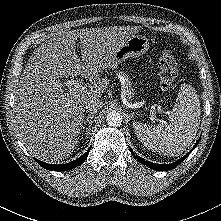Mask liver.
Segmentation results:
<instances>
[{
    "label": "liver",
    "mask_w": 221,
    "mask_h": 221,
    "mask_svg": "<svg viewBox=\"0 0 221 221\" xmlns=\"http://www.w3.org/2000/svg\"><path fill=\"white\" fill-rule=\"evenodd\" d=\"M140 27H107L61 32L30 56L15 92L14 125L27 150L45 161L68 157L78 143L85 103L100 98L109 81L97 79L115 52ZM80 40L82 60L75 45ZM83 61V62H82ZM97 79L84 92H65L61 78Z\"/></svg>",
    "instance_id": "liver-1"
}]
</instances>
